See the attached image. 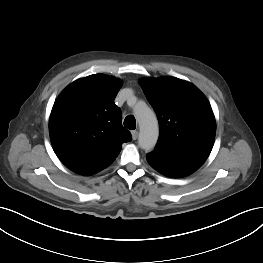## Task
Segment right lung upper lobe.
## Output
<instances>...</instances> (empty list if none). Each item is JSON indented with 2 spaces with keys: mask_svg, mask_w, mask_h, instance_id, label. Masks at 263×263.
Listing matches in <instances>:
<instances>
[{
  "mask_svg": "<svg viewBox=\"0 0 263 263\" xmlns=\"http://www.w3.org/2000/svg\"><path fill=\"white\" fill-rule=\"evenodd\" d=\"M121 81L94 74L71 83L55 101L49 120L53 149L72 171L92 175L108 167L131 134L114 99Z\"/></svg>",
  "mask_w": 263,
  "mask_h": 263,
  "instance_id": "obj_1",
  "label": "right lung upper lobe"
}]
</instances>
